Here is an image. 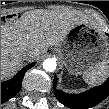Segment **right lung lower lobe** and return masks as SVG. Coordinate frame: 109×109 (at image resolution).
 <instances>
[{
  "label": "right lung lower lobe",
  "instance_id": "1",
  "mask_svg": "<svg viewBox=\"0 0 109 109\" xmlns=\"http://www.w3.org/2000/svg\"><path fill=\"white\" fill-rule=\"evenodd\" d=\"M35 63L25 66L11 80L1 82V104L14 97L22 87V80L25 72L33 67Z\"/></svg>",
  "mask_w": 109,
  "mask_h": 109
}]
</instances>
